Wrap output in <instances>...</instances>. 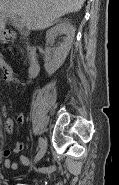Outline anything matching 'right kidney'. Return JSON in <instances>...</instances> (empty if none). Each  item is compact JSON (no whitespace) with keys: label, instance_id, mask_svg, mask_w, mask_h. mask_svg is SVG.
Listing matches in <instances>:
<instances>
[{"label":"right kidney","instance_id":"ca27d5eb","mask_svg":"<svg viewBox=\"0 0 119 185\" xmlns=\"http://www.w3.org/2000/svg\"><path fill=\"white\" fill-rule=\"evenodd\" d=\"M75 27L69 22L59 23L46 33V42L53 44L57 34H64L63 42L54 50L53 56L44 64L45 70L51 76L65 61L75 36Z\"/></svg>","mask_w":119,"mask_h":185}]
</instances>
